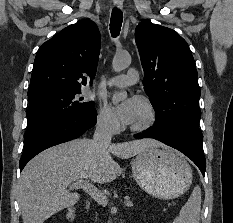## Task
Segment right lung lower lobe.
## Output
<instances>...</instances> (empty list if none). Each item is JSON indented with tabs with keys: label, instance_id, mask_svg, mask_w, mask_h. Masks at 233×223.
<instances>
[{
	"label": "right lung lower lobe",
	"instance_id": "1",
	"mask_svg": "<svg viewBox=\"0 0 233 223\" xmlns=\"http://www.w3.org/2000/svg\"><path fill=\"white\" fill-rule=\"evenodd\" d=\"M96 120V109H87L25 136L24 151L19 162L20 171L41 151L81 136L86 130L96 124Z\"/></svg>",
	"mask_w": 233,
	"mask_h": 223
}]
</instances>
